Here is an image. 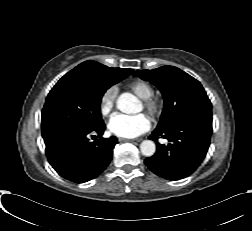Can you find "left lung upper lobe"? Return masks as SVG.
I'll use <instances>...</instances> for the list:
<instances>
[{
    "instance_id": "left-lung-upper-lobe-1",
    "label": "left lung upper lobe",
    "mask_w": 252,
    "mask_h": 231,
    "mask_svg": "<svg viewBox=\"0 0 252 231\" xmlns=\"http://www.w3.org/2000/svg\"><path fill=\"white\" fill-rule=\"evenodd\" d=\"M150 81L161 91L164 108L155 131H161L176 121L190 115L211 116V102L199 81L173 66L134 73Z\"/></svg>"
}]
</instances>
